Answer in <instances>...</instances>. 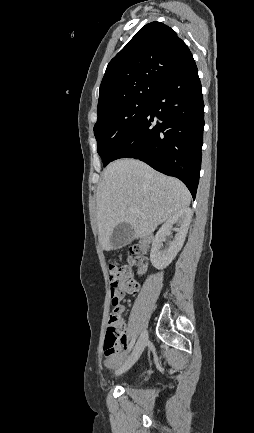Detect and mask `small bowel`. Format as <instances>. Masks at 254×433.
<instances>
[{"mask_svg":"<svg viewBox=\"0 0 254 433\" xmlns=\"http://www.w3.org/2000/svg\"><path fill=\"white\" fill-rule=\"evenodd\" d=\"M125 295L126 293L122 291L115 292V296L117 297L118 301L122 300L125 297ZM120 311L121 312L124 311L123 306L120 307ZM129 346L130 345H128L126 333H124L122 338V343L118 348V352L112 355L105 354V365L112 369L119 367L122 361L126 358V351L128 350Z\"/></svg>","mask_w":254,"mask_h":433,"instance_id":"1","label":"small bowel"}]
</instances>
